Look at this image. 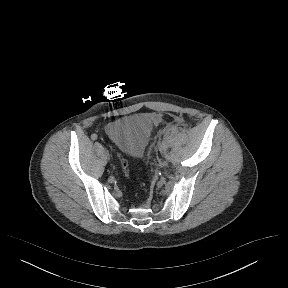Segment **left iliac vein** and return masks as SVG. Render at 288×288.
Masks as SVG:
<instances>
[{"label": "left iliac vein", "mask_w": 288, "mask_h": 288, "mask_svg": "<svg viewBox=\"0 0 288 288\" xmlns=\"http://www.w3.org/2000/svg\"><path fill=\"white\" fill-rule=\"evenodd\" d=\"M161 154H162V157H166V152H165V149H164V148L162 149Z\"/></svg>", "instance_id": "obj_1"}]
</instances>
